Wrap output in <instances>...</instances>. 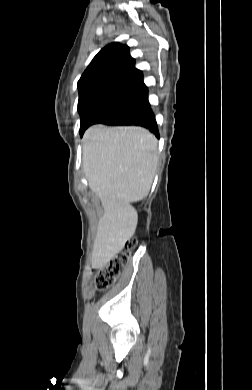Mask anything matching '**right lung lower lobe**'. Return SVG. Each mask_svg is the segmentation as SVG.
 <instances>
[{
    "mask_svg": "<svg viewBox=\"0 0 252 390\" xmlns=\"http://www.w3.org/2000/svg\"><path fill=\"white\" fill-rule=\"evenodd\" d=\"M103 124L141 126L149 129L159 138L157 123L151 110L148 96L135 103L128 109L109 118Z\"/></svg>",
    "mask_w": 252,
    "mask_h": 390,
    "instance_id": "98d812e1",
    "label": "right lung lower lobe"
}]
</instances>
